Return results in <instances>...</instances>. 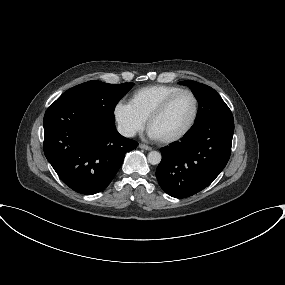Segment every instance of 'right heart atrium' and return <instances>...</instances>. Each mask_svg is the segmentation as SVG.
Here are the masks:
<instances>
[{
	"label": "right heart atrium",
	"mask_w": 285,
	"mask_h": 285,
	"mask_svg": "<svg viewBox=\"0 0 285 285\" xmlns=\"http://www.w3.org/2000/svg\"><path fill=\"white\" fill-rule=\"evenodd\" d=\"M113 116L118 130L126 137L135 136L143 129L145 124V121L135 112L132 106L124 101L116 103Z\"/></svg>",
	"instance_id": "1"
}]
</instances>
